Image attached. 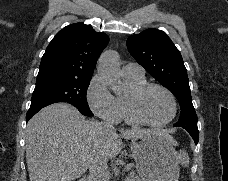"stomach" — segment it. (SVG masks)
I'll use <instances>...</instances> for the list:
<instances>
[{"mask_svg":"<svg viewBox=\"0 0 228 181\" xmlns=\"http://www.w3.org/2000/svg\"><path fill=\"white\" fill-rule=\"evenodd\" d=\"M140 181H178L180 161L171 137L163 133H144L131 141Z\"/></svg>","mask_w":228,"mask_h":181,"instance_id":"obj_1","label":"stomach"}]
</instances>
